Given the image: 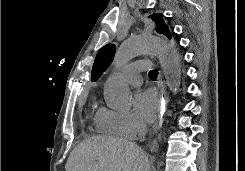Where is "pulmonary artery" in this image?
Returning a JSON list of instances; mask_svg holds the SVG:
<instances>
[{"mask_svg":"<svg viewBox=\"0 0 245 171\" xmlns=\"http://www.w3.org/2000/svg\"><path fill=\"white\" fill-rule=\"evenodd\" d=\"M148 67L146 62H132L129 65L125 66L121 71V76L128 83L138 86L141 82L140 73Z\"/></svg>","mask_w":245,"mask_h":171,"instance_id":"obj_1","label":"pulmonary artery"}]
</instances>
